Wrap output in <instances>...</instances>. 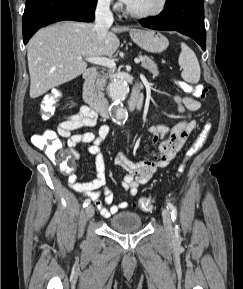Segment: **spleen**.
<instances>
[{
    "label": "spleen",
    "instance_id": "spleen-1",
    "mask_svg": "<svg viewBox=\"0 0 243 289\" xmlns=\"http://www.w3.org/2000/svg\"><path fill=\"white\" fill-rule=\"evenodd\" d=\"M178 63L183 69L181 76L184 81L196 84L200 80L201 70L198 59L192 49L185 43L181 44V53L179 55Z\"/></svg>",
    "mask_w": 243,
    "mask_h": 289
}]
</instances>
